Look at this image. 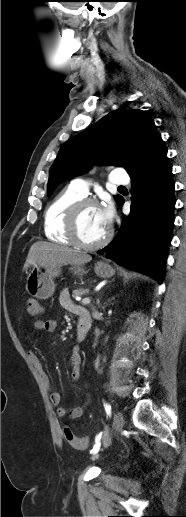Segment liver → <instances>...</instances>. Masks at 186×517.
I'll return each instance as SVG.
<instances>
[{"instance_id": "obj_1", "label": "liver", "mask_w": 186, "mask_h": 517, "mask_svg": "<svg viewBox=\"0 0 186 517\" xmlns=\"http://www.w3.org/2000/svg\"><path fill=\"white\" fill-rule=\"evenodd\" d=\"M91 260L85 252L40 241L31 246L23 270L30 266L82 265Z\"/></svg>"}]
</instances>
